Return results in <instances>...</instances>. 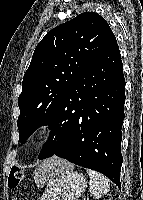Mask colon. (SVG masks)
I'll use <instances>...</instances> for the list:
<instances>
[{
	"mask_svg": "<svg viewBox=\"0 0 143 200\" xmlns=\"http://www.w3.org/2000/svg\"><path fill=\"white\" fill-rule=\"evenodd\" d=\"M24 178V172L16 167L13 166L10 169L9 176H8V185L11 189L17 188Z\"/></svg>",
	"mask_w": 143,
	"mask_h": 200,
	"instance_id": "1",
	"label": "colon"
}]
</instances>
